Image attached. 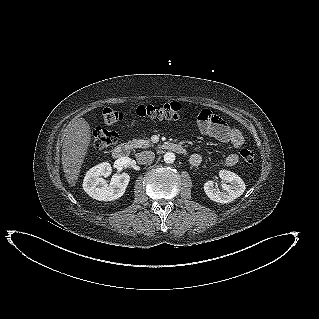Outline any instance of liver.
Returning a JSON list of instances; mask_svg holds the SVG:
<instances>
[{"label":"liver","mask_w":319,"mask_h":319,"mask_svg":"<svg viewBox=\"0 0 319 319\" xmlns=\"http://www.w3.org/2000/svg\"><path fill=\"white\" fill-rule=\"evenodd\" d=\"M91 141V129L84 118L72 120L62 135V165L67 182L75 186Z\"/></svg>","instance_id":"1"}]
</instances>
